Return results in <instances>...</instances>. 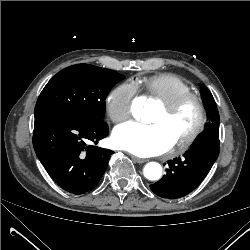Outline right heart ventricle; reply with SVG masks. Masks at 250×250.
I'll return each instance as SVG.
<instances>
[{
  "label": "right heart ventricle",
  "mask_w": 250,
  "mask_h": 250,
  "mask_svg": "<svg viewBox=\"0 0 250 250\" xmlns=\"http://www.w3.org/2000/svg\"><path fill=\"white\" fill-rule=\"evenodd\" d=\"M135 84L144 89L147 97L159 102H168L179 94L191 90L186 81L171 73L142 77Z\"/></svg>",
  "instance_id": "obj_1"
}]
</instances>
